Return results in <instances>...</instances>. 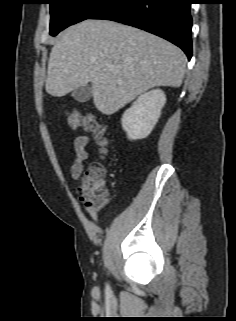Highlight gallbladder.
Instances as JSON below:
<instances>
[{
	"mask_svg": "<svg viewBox=\"0 0 236 321\" xmlns=\"http://www.w3.org/2000/svg\"><path fill=\"white\" fill-rule=\"evenodd\" d=\"M72 97L78 102H86L92 97V87L85 85L73 91Z\"/></svg>",
	"mask_w": 236,
	"mask_h": 321,
	"instance_id": "obj_1",
	"label": "gallbladder"
}]
</instances>
